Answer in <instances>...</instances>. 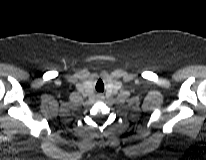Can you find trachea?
<instances>
[{"label": "trachea", "instance_id": "3493384b", "mask_svg": "<svg viewBox=\"0 0 206 160\" xmlns=\"http://www.w3.org/2000/svg\"><path fill=\"white\" fill-rule=\"evenodd\" d=\"M96 90L98 92H103L104 91V84H103L102 80H98V82L96 84Z\"/></svg>", "mask_w": 206, "mask_h": 160}]
</instances>
